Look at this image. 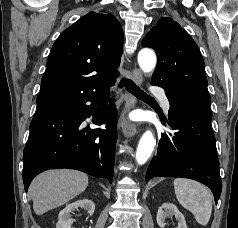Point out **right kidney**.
Instances as JSON below:
<instances>
[{
  "mask_svg": "<svg viewBox=\"0 0 238 228\" xmlns=\"http://www.w3.org/2000/svg\"><path fill=\"white\" fill-rule=\"evenodd\" d=\"M79 207L86 210L90 216L93 215L95 210L94 203L89 199H82L68 204L62 211H60L56 228H74L72 227L74 220L71 218V213Z\"/></svg>",
  "mask_w": 238,
  "mask_h": 228,
  "instance_id": "obj_1",
  "label": "right kidney"
}]
</instances>
